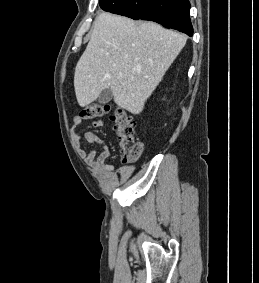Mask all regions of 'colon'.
<instances>
[{
	"label": "colon",
	"instance_id": "colon-1",
	"mask_svg": "<svg viewBox=\"0 0 259 283\" xmlns=\"http://www.w3.org/2000/svg\"><path fill=\"white\" fill-rule=\"evenodd\" d=\"M111 106L107 103H99L84 107L79 116L83 119H95L107 115ZM113 122L122 148V160L124 163H133L141 156L143 143L135 131L132 117L121 108L116 107L113 113Z\"/></svg>",
	"mask_w": 259,
	"mask_h": 283
}]
</instances>
